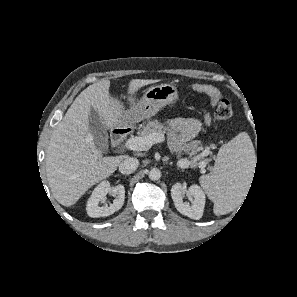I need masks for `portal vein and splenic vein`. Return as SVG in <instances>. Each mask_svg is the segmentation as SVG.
<instances>
[{
	"instance_id": "obj_1",
	"label": "portal vein and splenic vein",
	"mask_w": 297,
	"mask_h": 297,
	"mask_svg": "<svg viewBox=\"0 0 297 297\" xmlns=\"http://www.w3.org/2000/svg\"><path fill=\"white\" fill-rule=\"evenodd\" d=\"M165 140L162 134L151 133L146 136H136L128 139L125 143V146L133 151H147L151 148V146L155 143H160ZM179 163L189 165L190 162L185 160H180ZM202 168H204V163L201 164Z\"/></svg>"
}]
</instances>
